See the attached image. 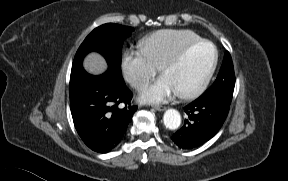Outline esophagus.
I'll use <instances>...</instances> for the list:
<instances>
[{"instance_id":"esophagus-1","label":"esophagus","mask_w":288,"mask_h":181,"mask_svg":"<svg viewBox=\"0 0 288 181\" xmlns=\"http://www.w3.org/2000/svg\"><path fill=\"white\" fill-rule=\"evenodd\" d=\"M153 108L157 111H164L166 110L165 106L154 105Z\"/></svg>"}]
</instances>
